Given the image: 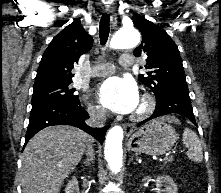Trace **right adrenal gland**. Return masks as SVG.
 <instances>
[{
    "label": "right adrenal gland",
    "instance_id": "right-adrenal-gland-1",
    "mask_svg": "<svg viewBox=\"0 0 221 193\" xmlns=\"http://www.w3.org/2000/svg\"><path fill=\"white\" fill-rule=\"evenodd\" d=\"M83 164L85 165V167H89L92 164V160L90 159H86Z\"/></svg>",
    "mask_w": 221,
    "mask_h": 193
}]
</instances>
